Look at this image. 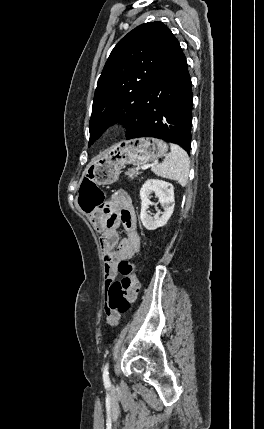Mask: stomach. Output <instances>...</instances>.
I'll use <instances>...</instances> for the list:
<instances>
[{"label":"stomach","instance_id":"obj_1","mask_svg":"<svg viewBox=\"0 0 264 429\" xmlns=\"http://www.w3.org/2000/svg\"><path fill=\"white\" fill-rule=\"evenodd\" d=\"M168 145L156 138H136L113 145L87 166L85 176L97 185H110L117 181L126 164L147 163L164 156Z\"/></svg>","mask_w":264,"mask_h":429}]
</instances>
